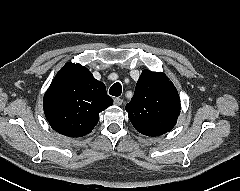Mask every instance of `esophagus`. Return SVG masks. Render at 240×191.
<instances>
[{"instance_id": "34e87169", "label": "esophagus", "mask_w": 240, "mask_h": 191, "mask_svg": "<svg viewBox=\"0 0 240 191\" xmlns=\"http://www.w3.org/2000/svg\"><path fill=\"white\" fill-rule=\"evenodd\" d=\"M123 103V100L121 98H115L114 99V104L117 105V106H120L122 105Z\"/></svg>"}]
</instances>
